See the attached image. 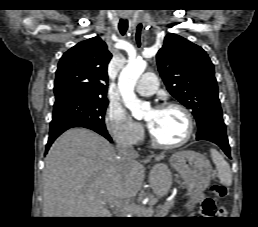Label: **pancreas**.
Masks as SVG:
<instances>
[{
    "label": "pancreas",
    "instance_id": "cf45deb5",
    "mask_svg": "<svg viewBox=\"0 0 258 227\" xmlns=\"http://www.w3.org/2000/svg\"><path fill=\"white\" fill-rule=\"evenodd\" d=\"M173 206L174 201L165 203L164 205L159 206L157 209L143 207V211H134L133 217H166Z\"/></svg>",
    "mask_w": 258,
    "mask_h": 227
}]
</instances>
